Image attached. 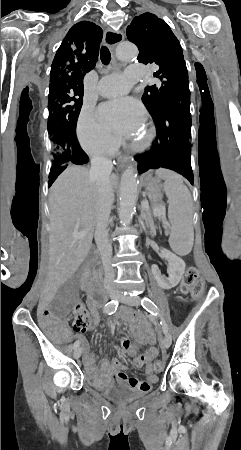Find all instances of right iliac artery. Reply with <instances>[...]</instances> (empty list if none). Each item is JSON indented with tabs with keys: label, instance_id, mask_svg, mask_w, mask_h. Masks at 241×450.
Returning a JSON list of instances; mask_svg holds the SVG:
<instances>
[{
	"label": "right iliac artery",
	"instance_id": "right-iliac-artery-1",
	"mask_svg": "<svg viewBox=\"0 0 241 450\" xmlns=\"http://www.w3.org/2000/svg\"><path fill=\"white\" fill-rule=\"evenodd\" d=\"M117 307H118V301L112 300L104 306L103 311H104V313L111 315L117 310ZM79 345H80V342L76 341L73 344V349H76Z\"/></svg>",
	"mask_w": 241,
	"mask_h": 450
}]
</instances>
